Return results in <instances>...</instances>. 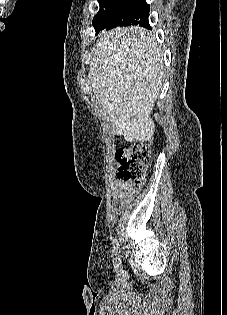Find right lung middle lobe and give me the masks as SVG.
<instances>
[{"label":"right lung middle lobe","instance_id":"right-lung-middle-lobe-1","mask_svg":"<svg viewBox=\"0 0 227 315\" xmlns=\"http://www.w3.org/2000/svg\"><path fill=\"white\" fill-rule=\"evenodd\" d=\"M100 9L93 19L96 35L100 30L117 26L149 27L150 6L145 0H100Z\"/></svg>","mask_w":227,"mask_h":315}]
</instances>
